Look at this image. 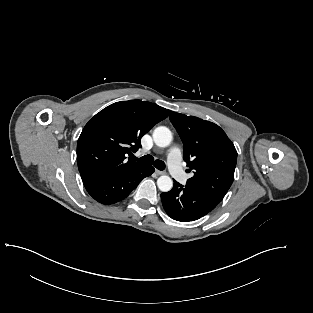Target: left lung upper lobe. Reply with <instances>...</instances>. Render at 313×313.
Instances as JSON below:
<instances>
[{
	"mask_svg": "<svg viewBox=\"0 0 313 313\" xmlns=\"http://www.w3.org/2000/svg\"><path fill=\"white\" fill-rule=\"evenodd\" d=\"M170 121L183 142L184 161L194 170L187 180L192 189L222 200L233 180L237 151L216 124L170 111Z\"/></svg>",
	"mask_w": 313,
	"mask_h": 313,
	"instance_id": "5c2ea615",
	"label": "left lung upper lobe"
}]
</instances>
